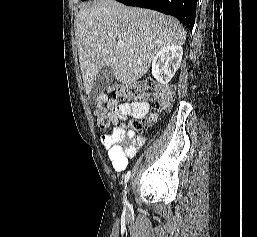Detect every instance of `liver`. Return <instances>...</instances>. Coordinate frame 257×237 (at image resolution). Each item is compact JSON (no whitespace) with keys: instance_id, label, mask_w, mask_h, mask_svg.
I'll return each mask as SVG.
<instances>
[{"instance_id":"1","label":"liver","mask_w":257,"mask_h":237,"mask_svg":"<svg viewBox=\"0 0 257 237\" xmlns=\"http://www.w3.org/2000/svg\"><path fill=\"white\" fill-rule=\"evenodd\" d=\"M76 37L84 87L90 94L104 66L112 67L123 84L135 83L146 74L160 49L184 44L186 31L174 17L157 11L97 0L81 7ZM119 41L124 44L122 48L117 45Z\"/></svg>"}]
</instances>
